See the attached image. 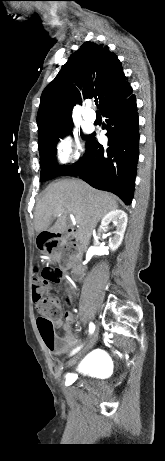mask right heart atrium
I'll return each instance as SVG.
<instances>
[{
	"instance_id": "right-heart-atrium-1",
	"label": "right heart atrium",
	"mask_w": 165,
	"mask_h": 461,
	"mask_svg": "<svg viewBox=\"0 0 165 461\" xmlns=\"http://www.w3.org/2000/svg\"><path fill=\"white\" fill-rule=\"evenodd\" d=\"M83 154V149L77 136L65 134L56 144V157L61 165H69L78 161Z\"/></svg>"
}]
</instances>
